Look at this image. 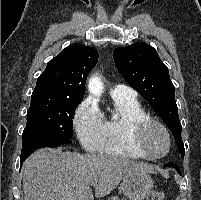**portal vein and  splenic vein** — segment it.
Listing matches in <instances>:
<instances>
[{"instance_id": "obj_1", "label": "portal vein and splenic vein", "mask_w": 201, "mask_h": 200, "mask_svg": "<svg viewBox=\"0 0 201 200\" xmlns=\"http://www.w3.org/2000/svg\"><path fill=\"white\" fill-rule=\"evenodd\" d=\"M96 184V182H91V185H95Z\"/></svg>"}]
</instances>
